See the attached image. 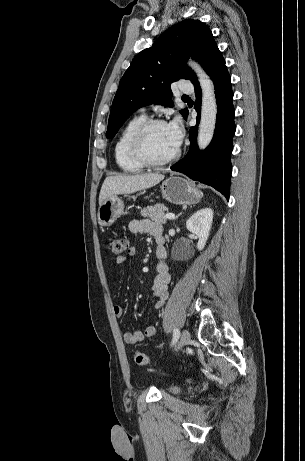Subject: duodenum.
<instances>
[{"mask_svg": "<svg viewBox=\"0 0 305 461\" xmlns=\"http://www.w3.org/2000/svg\"><path fill=\"white\" fill-rule=\"evenodd\" d=\"M156 241H157L158 246H160V247H163V246H164V238H163L162 236H159V237L156 239Z\"/></svg>", "mask_w": 305, "mask_h": 461, "instance_id": "obj_1", "label": "duodenum"}]
</instances>
